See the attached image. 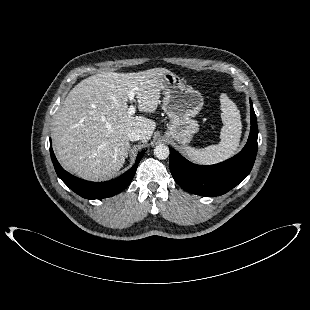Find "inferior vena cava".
I'll return each instance as SVG.
<instances>
[{
	"label": "inferior vena cava",
	"instance_id": "602c4592",
	"mask_svg": "<svg viewBox=\"0 0 310 310\" xmlns=\"http://www.w3.org/2000/svg\"><path fill=\"white\" fill-rule=\"evenodd\" d=\"M128 138L130 141H137L142 139V135L138 130H132L128 133Z\"/></svg>",
	"mask_w": 310,
	"mask_h": 310
}]
</instances>
